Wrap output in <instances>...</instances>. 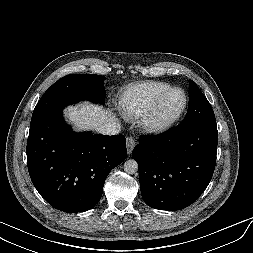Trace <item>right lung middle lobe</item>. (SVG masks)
<instances>
[{"label":"right lung middle lobe","mask_w":253,"mask_h":253,"mask_svg":"<svg viewBox=\"0 0 253 253\" xmlns=\"http://www.w3.org/2000/svg\"><path fill=\"white\" fill-rule=\"evenodd\" d=\"M104 79V76L94 74H71L59 79L38 101L30 125L81 100L103 103Z\"/></svg>","instance_id":"right-lung-middle-lobe-1"}]
</instances>
